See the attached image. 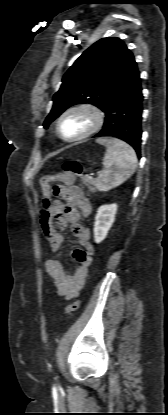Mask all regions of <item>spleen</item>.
<instances>
[{
  "label": "spleen",
  "instance_id": "1",
  "mask_svg": "<svg viewBox=\"0 0 168 415\" xmlns=\"http://www.w3.org/2000/svg\"><path fill=\"white\" fill-rule=\"evenodd\" d=\"M97 143L106 147L101 174L96 180V187L100 191L115 188L130 178L137 166V157L134 149L119 139L99 138Z\"/></svg>",
  "mask_w": 168,
  "mask_h": 415
}]
</instances>
